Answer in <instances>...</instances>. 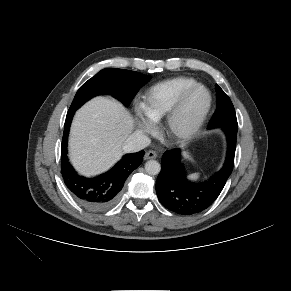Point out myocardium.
Masks as SVG:
<instances>
[{
	"instance_id": "1",
	"label": "myocardium",
	"mask_w": 291,
	"mask_h": 291,
	"mask_svg": "<svg viewBox=\"0 0 291 291\" xmlns=\"http://www.w3.org/2000/svg\"><path fill=\"white\" fill-rule=\"evenodd\" d=\"M198 90L205 91L207 95V103L198 116V118L195 120V122L186 129H179L176 126L177 119L184 108L186 102L190 98V96L195 93ZM212 94L210 90L203 84H196L190 88H188L177 100V102L174 104V106L171 108L169 113L166 115L165 123H164V129L166 135L175 142H185L192 137H194L201 127L203 126L210 110L212 107Z\"/></svg>"
}]
</instances>
